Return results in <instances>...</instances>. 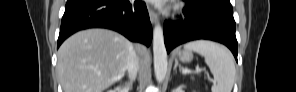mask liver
I'll list each match as a JSON object with an SVG mask.
<instances>
[{
	"label": "liver",
	"instance_id": "liver-1",
	"mask_svg": "<svg viewBox=\"0 0 296 92\" xmlns=\"http://www.w3.org/2000/svg\"><path fill=\"white\" fill-rule=\"evenodd\" d=\"M132 44L107 29H87L58 50L57 72L64 92H103L125 73Z\"/></svg>",
	"mask_w": 296,
	"mask_h": 92
}]
</instances>
